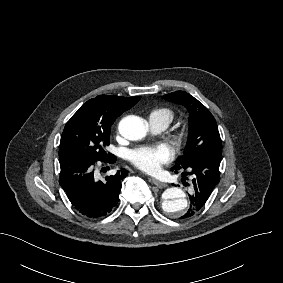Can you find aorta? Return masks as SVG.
Returning a JSON list of instances; mask_svg holds the SVG:
<instances>
[{
    "label": "aorta",
    "mask_w": 283,
    "mask_h": 283,
    "mask_svg": "<svg viewBox=\"0 0 283 283\" xmlns=\"http://www.w3.org/2000/svg\"><path fill=\"white\" fill-rule=\"evenodd\" d=\"M118 129L124 138L137 141L146 136L148 123L140 117L127 116L119 122ZM162 199V209L173 217H180L187 210L188 200L186 193L178 187L166 189Z\"/></svg>",
    "instance_id": "762f6f07"
}]
</instances>
